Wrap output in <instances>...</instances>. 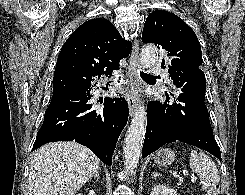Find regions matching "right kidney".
Instances as JSON below:
<instances>
[{"mask_svg": "<svg viewBox=\"0 0 245 195\" xmlns=\"http://www.w3.org/2000/svg\"><path fill=\"white\" fill-rule=\"evenodd\" d=\"M78 195H83V194H78ZM88 195H96L94 190H90Z\"/></svg>", "mask_w": 245, "mask_h": 195, "instance_id": "obj_1", "label": "right kidney"}]
</instances>
